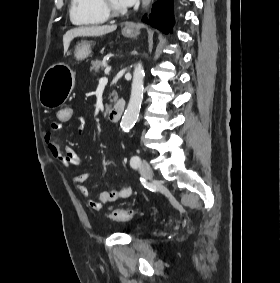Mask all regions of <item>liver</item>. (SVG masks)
Masks as SVG:
<instances>
[{
	"instance_id": "liver-1",
	"label": "liver",
	"mask_w": 280,
	"mask_h": 283,
	"mask_svg": "<svg viewBox=\"0 0 280 283\" xmlns=\"http://www.w3.org/2000/svg\"><path fill=\"white\" fill-rule=\"evenodd\" d=\"M117 29L116 25L81 26L68 30L63 36L64 53L67 52L70 42L79 36H102Z\"/></svg>"
}]
</instances>
